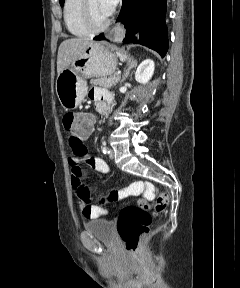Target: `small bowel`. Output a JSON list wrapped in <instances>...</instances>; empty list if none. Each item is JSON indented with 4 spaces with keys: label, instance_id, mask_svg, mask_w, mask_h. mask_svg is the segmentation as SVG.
Wrapping results in <instances>:
<instances>
[{
    "label": "small bowel",
    "instance_id": "1",
    "mask_svg": "<svg viewBox=\"0 0 240 288\" xmlns=\"http://www.w3.org/2000/svg\"><path fill=\"white\" fill-rule=\"evenodd\" d=\"M88 96L94 101L96 109L101 113L106 112L113 102L111 94L106 89L100 87L90 89ZM86 137L87 135L80 138L70 137L69 143L74 156L69 159V165L71 168L72 186L80 212L85 219L92 220L105 215L106 210L96 203L97 196L85 184L84 178L86 173L84 167H89L101 173H109L110 169L102 158L92 157L88 154L84 145ZM148 189V194L150 195L153 189L152 187ZM129 191V189H126L119 192L120 197L127 195Z\"/></svg>",
    "mask_w": 240,
    "mask_h": 288
}]
</instances>
